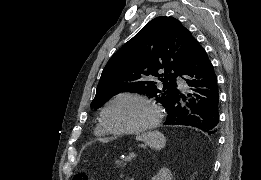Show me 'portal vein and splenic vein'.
Here are the masks:
<instances>
[{
  "label": "portal vein and splenic vein",
  "mask_w": 261,
  "mask_h": 180,
  "mask_svg": "<svg viewBox=\"0 0 261 180\" xmlns=\"http://www.w3.org/2000/svg\"><path fill=\"white\" fill-rule=\"evenodd\" d=\"M132 155H135V154H129L128 158L125 159V162H127V163H132V162H133V160L131 159V156H132Z\"/></svg>",
  "instance_id": "1"
}]
</instances>
